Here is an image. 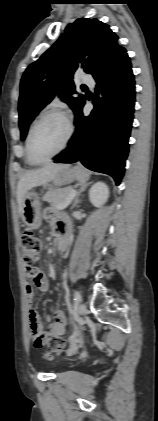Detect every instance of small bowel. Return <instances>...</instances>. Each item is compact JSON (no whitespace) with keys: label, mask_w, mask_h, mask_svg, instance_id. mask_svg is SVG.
<instances>
[{"label":"small bowel","mask_w":158,"mask_h":421,"mask_svg":"<svg viewBox=\"0 0 158 421\" xmlns=\"http://www.w3.org/2000/svg\"><path fill=\"white\" fill-rule=\"evenodd\" d=\"M45 218L50 223L53 231L59 237L69 235L70 222L68 217L62 213H56L50 209L45 211ZM26 277L30 280V283L26 287V298L30 305L29 309V327L35 347L40 348L43 346L44 341L49 336L61 335L64 333L66 317L62 310L55 309L53 311V321L48 325L46 329L42 328L41 321L37 311L32 307L34 300V290L40 291L48 290V279L44 273H42L37 267L28 268L25 267ZM36 340H39V345L36 344Z\"/></svg>","instance_id":"obj_1"}]
</instances>
